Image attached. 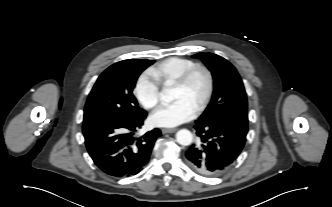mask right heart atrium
<instances>
[{
    "label": "right heart atrium",
    "instance_id": "1",
    "mask_svg": "<svg viewBox=\"0 0 332 207\" xmlns=\"http://www.w3.org/2000/svg\"><path fill=\"white\" fill-rule=\"evenodd\" d=\"M135 95L141 105L148 109H154L160 101L159 82L150 74L142 73L135 84Z\"/></svg>",
    "mask_w": 332,
    "mask_h": 207
}]
</instances>
